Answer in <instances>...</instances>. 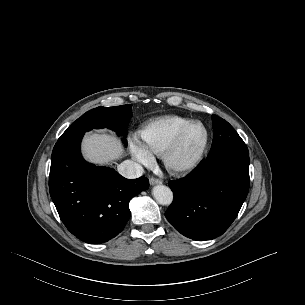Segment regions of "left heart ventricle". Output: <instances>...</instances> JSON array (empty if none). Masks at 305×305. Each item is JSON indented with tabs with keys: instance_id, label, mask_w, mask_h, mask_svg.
Returning a JSON list of instances; mask_svg holds the SVG:
<instances>
[{
	"instance_id": "left-heart-ventricle-1",
	"label": "left heart ventricle",
	"mask_w": 305,
	"mask_h": 305,
	"mask_svg": "<svg viewBox=\"0 0 305 305\" xmlns=\"http://www.w3.org/2000/svg\"><path fill=\"white\" fill-rule=\"evenodd\" d=\"M205 139V131L201 126H194L187 133L178 159L181 161L192 158L201 148Z\"/></svg>"
}]
</instances>
